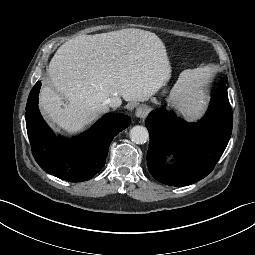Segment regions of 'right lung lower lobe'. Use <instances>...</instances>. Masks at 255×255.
<instances>
[{"label": "right lung lower lobe", "mask_w": 255, "mask_h": 255, "mask_svg": "<svg viewBox=\"0 0 255 255\" xmlns=\"http://www.w3.org/2000/svg\"><path fill=\"white\" fill-rule=\"evenodd\" d=\"M41 82L32 88L26 104V128L32 153L39 166L47 173L70 182L91 179L105 165L109 146L114 136L131 123L119 113H108L84 134L70 140L68 148L55 137L38 110ZM73 152V154H69ZM66 163L70 166H66ZM70 169H67L69 168Z\"/></svg>", "instance_id": "obj_1"}]
</instances>
